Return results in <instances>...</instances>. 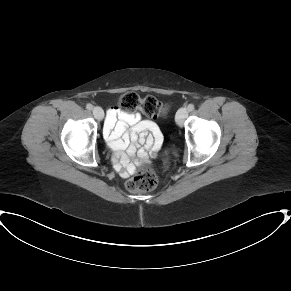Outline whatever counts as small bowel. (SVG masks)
I'll list each match as a JSON object with an SVG mask.
<instances>
[{"mask_svg": "<svg viewBox=\"0 0 291 291\" xmlns=\"http://www.w3.org/2000/svg\"><path fill=\"white\" fill-rule=\"evenodd\" d=\"M104 136L116 150L115 162L124 174L132 173L135 165L153 159L161 146L160 131L155 123L142 121L139 114L118 106L106 111ZM129 158L135 159V164L130 163Z\"/></svg>", "mask_w": 291, "mask_h": 291, "instance_id": "1", "label": "small bowel"}]
</instances>
